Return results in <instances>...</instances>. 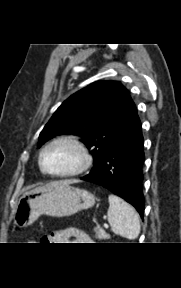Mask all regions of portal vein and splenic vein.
Returning <instances> with one entry per match:
<instances>
[{
    "instance_id": "18ae733b",
    "label": "portal vein and splenic vein",
    "mask_w": 181,
    "mask_h": 288,
    "mask_svg": "<svg viewBox=\"0 0 181 288\" xmlns=\"http://www.w3.org/2000/svg\"><path fill=\"white\" fill-rule=\"evenodd\" d=\"M104 227H105V228H108V224L105 223V224H104Z\"/></svg>"
}]
</instances>
